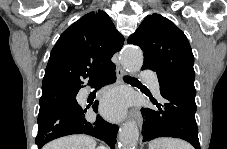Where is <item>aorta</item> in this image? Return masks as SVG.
<instances>
[{
    "label": "aorta",
    "instance_id": "obj_1",
    "mask_svg": "<svg viewBox=\"0 0 227 149\" xmlns=\"http://www.w3.org/2000/svg\"><path fill=\"white\" fill-rule=\"evenodd\" d=\"M121 63L129 72L141 69L143 65V53L138 47L129 46L121 53ZM139 138V130L134 121L126 122L119 132V146L121 149H136Z\"/></svg>",
    "mask_w": 227,
    "mask_h": 149
}]
</instances>
